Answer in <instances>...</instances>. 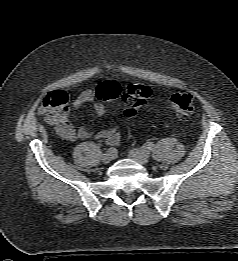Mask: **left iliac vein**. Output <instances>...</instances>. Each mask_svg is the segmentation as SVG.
Instances as JSON below:
<instances>
[{"mask_svg": "<svg viewBox=\"0 0 238 261\" xmlns=\"http://www.w3.org/2000/svg\"><path fill=\"white\" fill-rule=\"evenodd\" d=\"M128 156L141 165L147 164L150 160L149 156L145 152L135 148L128 152Z\"/></svg>", "mask_w": 238, "mask_h": 261, "instance_id": "4c4485c4", "label": "left iliac vein"}]
</instances>
